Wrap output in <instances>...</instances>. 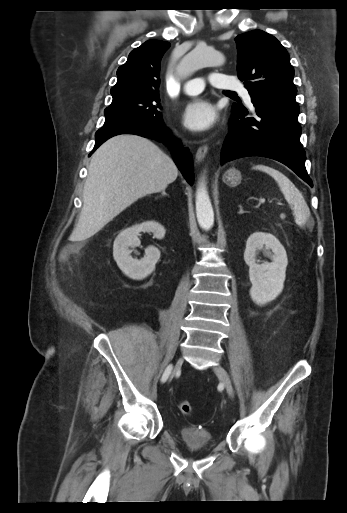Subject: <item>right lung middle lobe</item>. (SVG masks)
I'll use <instances>...</instances> for the list:
<instances>
[{
    "label": "right lung middle lobe",
    "instance_id": "right-lung-middle-lobe-1",
    "mask_svg": "<svg viewBox=\"0 0 347 513\" xmlns=\"http://www.w3.org/2000/svg\"><path fill=\"white\" fill-rule=\"evenodd\" d=\"M159 94H127L113 99L105 109V124L123 119L162 122Z\"/></svg>",
    "mask_w": 347,
    "mask_h": 513
}]
</instances>
